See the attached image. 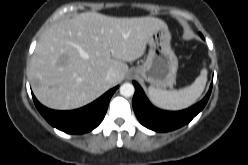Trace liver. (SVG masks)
I'll return each mask as SVG.
<instances>
[{
    "instance_id": "liver-1",
    "label": "liver",
    "mask_w": 248,
    "mask_h": 165,
    "mask_svg": "<svg viewBox=\"0 0 248 165\" xmlns=\"http://www.w3.org/2000/svg\"><path fill=\"white\" fill-rule=\"evenodd\" d=\"M166 23L154 17L116 18L80 13L53 24L40 37L30 63L38 101L56 110L85 106L120 83L126 62L140 58L149 37ZM114 71L113 83L106 80Z\"/></svg>"
}]
</instances>
